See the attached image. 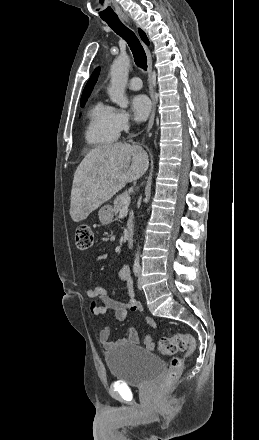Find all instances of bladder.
<instances>
[{
	"instance_id": "1",
	"label": "bladder",
	"mask_w": 259,
	"mask_h": 440,
	"mask_svg": "<svg viewBox=\"0 0 259 440\" xmlns=\"http://www.w3.org/2000/svg\"><path fill=\"white\" fill-rule=\"evenodd\" d=\"M105 361L114 379L133 386L146 385L165 369L160 357L133 344L108 351Z\"/></svg>"
}]
</instances>
